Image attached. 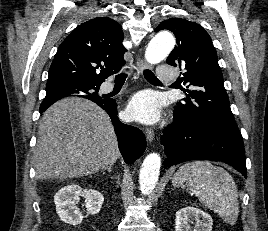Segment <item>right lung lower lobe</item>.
Masks as SVG:
<instances>
[{
  "mask_svg": "<svg viewBox=\"0 0 268 231\" xmlns=\"http://www.w3.org/2000/svg\"><path fill=\"white\" fill-rule=\"evenodd\" d=\"M110 116L118 138L120 152L127 164H132L146 149L145 136L138 128L119 121L117 104L113 99H91ZM44 111H40L42 113Z\"/></svg>",
  "mask_w": 268,
  "mask_h": 231,
  "instance_id": "right-lung-lower-lobe-1",
  "label": "right lung lower lobe"
}]
</instances>
